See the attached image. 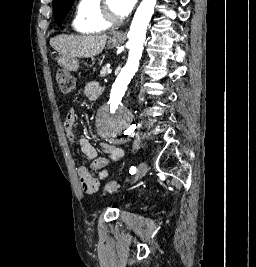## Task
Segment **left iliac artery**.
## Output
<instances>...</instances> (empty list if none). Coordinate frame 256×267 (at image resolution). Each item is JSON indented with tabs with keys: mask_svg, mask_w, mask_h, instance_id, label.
<instances>
[{
	"mask_svg": "<svg viewBox=\"0 0 256 267\" xmlns=\"http://www.w3.org/2000/svg\"><path fill=\"white\" fill-rule=\"evenodd\" d=\"M129 173L132 175L135 174L136 173V167L132 166L129 170Z\"/></svg>",
	"mask_w": 256,
	"mask_h": 267,
	"instance_id": "left-iliac-artery-1",
	"label": "left iliac artery"
}]
</instances>
